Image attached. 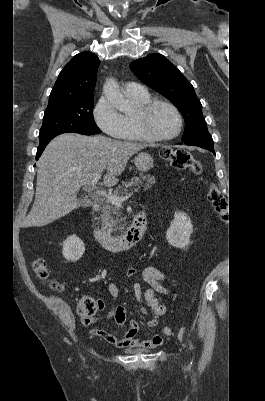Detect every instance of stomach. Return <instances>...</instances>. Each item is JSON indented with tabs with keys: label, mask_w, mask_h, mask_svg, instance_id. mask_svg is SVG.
Masks as SVG:
<instances>
[{
	"label": "stomach",
	"mask_w": 265,
	"mask_h": 401,
	"mask_svg": "<svg viewBox=\"0 0 265 401\" xmlns=\"http://www.w3.org/2000/svg\"><path fill=\"white\" fill-rule=\"evenodd\" d=\"M134 162L135 166H137L138 170H141V172H147L154 164V160L148 152H139V154L135 156Z\"/></svg>",
	"instance_id": "1"
}]
</instances>
